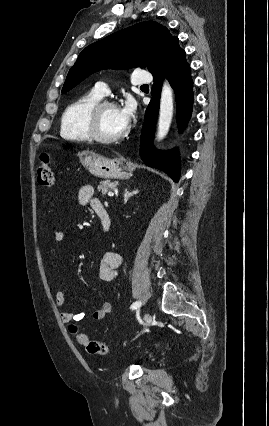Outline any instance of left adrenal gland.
<instances>
[{"label": "left adrenal gland", "instance_id": "a2214340", "mask_svg": "<svg viewBox=\"0 0 269 426\" xmlns=\"http://www.w3.org/2000/svg\"><path fill=\"white\" fill-rule=\"evenodd\" d=\"M137 193H138V190H134L132 192H129L128 189H125V191H124V204L127 203V201L129 200V198L131 196H133L134 194H137Z\"/></svg>", "mask_w": 269, "mask_h": 426}]
</instances>
